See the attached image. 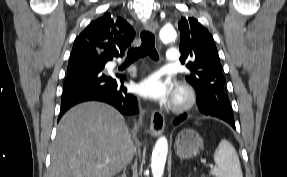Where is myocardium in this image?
<instances>
[{
    "mask_svg": "<svg viewBox=\"0 0 287 177\" xmlns=\"http://www.w3.org/2000/svg\"><path fill=\"white\" fill-rule=\"evenodd\" d=\"M197 100L196 93L189 85H181L176 90L170 108L175 112H184L192 108Z\"/></svg>",
    "mask_w": 287,
    "mask_h": 177,
    "instance_id": "1",
    "label": "myocardium"
}]
</instances>
